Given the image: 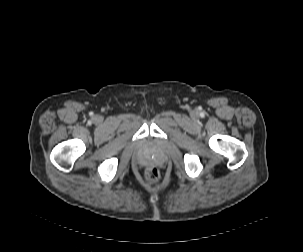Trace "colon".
<instances>
[{"instance_id":"1","label":"colon","mask_w":303,"mask_h":252,"mask_svg":"<svg viewBox=\"0 0 303 252\" xmlns=\"http://www.w3.org/2000/svg\"><path fill=\"white\" fill-rule=\"evenodd\" d=\"M159 178H160V172L157 168L150 167L146 170V179L149 182L155 183L159 180Z\"/></svg>"}]
</instances>
